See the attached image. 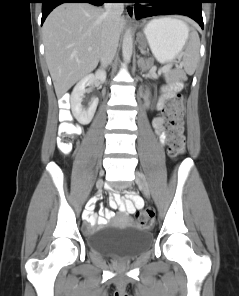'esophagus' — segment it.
<instances>
[{
	"instance_id": "1",
	"label": "esophagus",
	"mask_w": 239,
	"mask_h": 296,
	"mask_svg": "<svg viewBox=\"0 0 239 296\" xmlns=\"http://www.w3.org/2000/svg\"><path fill=\"white\" fill-rule=\"evenodd\" d=\"M126 14L130 20L134 19V7L132 5L126 6Z\"/></svg>"
}]
</instances>
